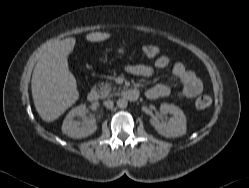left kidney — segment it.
<instances>
[{
  "mask_svg": "<svg viewBox=\"0 0 249 188\" xmlns=\"http://www.w3.org/2000/svg\"><path fill=\"white\" fill-rule=\"evenodd\" d=\"M160 111L164 114L170 113L173 115L168 123L155 121L154 119L150 120L151 125L160 135L174 138L183 136L186 133V117L179 107L163 103L160 106Z\"/></svg>",
  "mask_w": 249,
  "mask_h": 188,
  "instance_id": "1",
  "label": "left kidney"
}]
</instances>
